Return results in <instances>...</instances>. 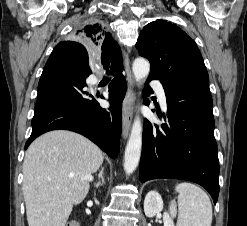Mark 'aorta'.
Segmentation results:
<instances>
[{
  "mask_svg": "<svg viewBox=\"0 0 247 226\" xmlns=\"http://www.w3.org/2000/svg\"><path fill=\"white\" fill-rule=\"evenodd\" d=\"M134 78L137 83L145 80L150 72V64L145 58H136L132 65ZM142 149V125L139 116L135 117L131 134L125 149L124 170L131 174L138 166Z\"/></svg>",
  "mask_w": 247,
  "mask_h": 226,
  "instance_id": "762f6f07",
  "label": "aorta"
}]
</instances>
